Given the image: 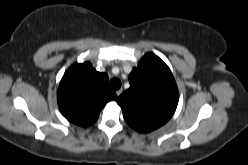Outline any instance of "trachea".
I'll list each match as a JSON object with an SVG mask.
<instances>
[{
    "label": "trachea",
    "instance_id": "obj_1",
    "mask_svg": "<svg viewBox=\"0 0 248 165\" xmlns=\"http://www.w3.org/2000/svg\"><path fill=\"white\" fill-rule=\"evenodd\" d=\"M110 86L113 90H118L121 87V81L118 78H113L110 81Z\"/></svg>",
    "mask_w": 248,
    "mask_h": 165
}]
</instances>
